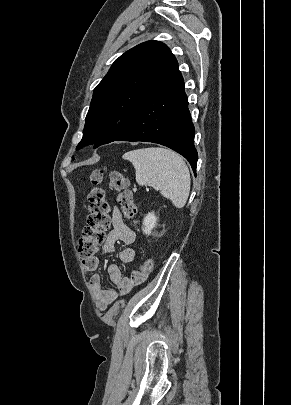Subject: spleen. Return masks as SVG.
Returning <instances> with one entry per match:
<instances>
[{
    "label": "spleen",
    "mask_w": 291,
    "mask_h": 405,
    "mask_svg": "<svg viewBox=\"0 0 291 405\" xmlns=\"http://www.w3.org/2000/svg\"><path fill=\"white\" fill-rule=\"evenodd\" d=\"M139 185L151 184L169 199L176 208H182L190 192V173L183 159L175 152L158 147L142 148L126 152Z\"/></svg>",
    "instance_id": "1"
}]
</instances>
